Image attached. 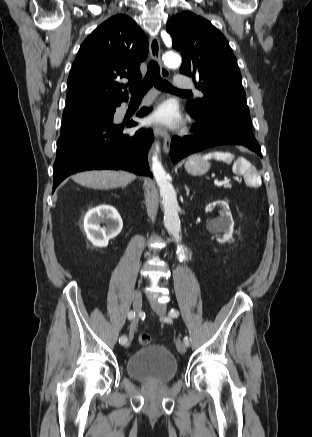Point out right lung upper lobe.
<instances>
[{
  "mask_svg": "<svg viewBox=\"0 0 312 437\" xmlns=\"http://www.w3.org/2000/svg\"><path fill=\"white\" fill-rule=\"evenodd\" d=\"M148 53L144 32L128 16L115 15L80 46L68 77L66 109L116 107L128 100L126 86L141 79L139 65Z\"/></svg>",
  "mask_w": 312,
  "mask_h": 437,
  "instance_id": "cb5924a9",
  "label": "right lung upper lobe"
}]
</instances>
